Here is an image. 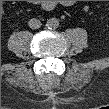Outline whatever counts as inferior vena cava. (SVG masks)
Masks as SVG:
<instances>
[{
	"label": "inferior vena cava",
	"instance_id": "inferior-vena-cava-1",
	"mask_svg": "<svg viewBox=\"0 0 109 109\" xmlns=\"http://www.w3.org/2000/svg\"><path fill=\"white\" fill-rule=\"evenodd\" d=\"M29 27L32 28V29H38L41 27V21L36 19V18H33V19H30L29 23H28Z\"/></svg>",
	"mask_w": 109,
	"mask_h": 109
}]
</instances>
